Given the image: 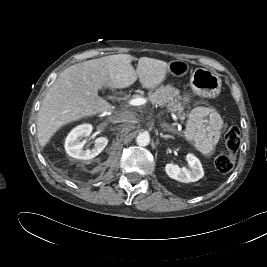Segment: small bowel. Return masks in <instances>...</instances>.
I'll return each mask as SVG.
<instances>
[{"label":"small bowel","instance_id":"obj_1","mask_svg":"<svg viewBox=\"0 0 267 267\" xmlns=\"http://www.w3.org/2000/svg\"><path fill=\"white\" fill-rule=\"evenodd\" d=\"M184 101H188V98L185 97ZM222 128L223 119L216 107L198 106L190 112L185 128V138L198 151L208 155L217 145Z\"/></svg>","mask_w":267,"mask_h":267}]
</instances>
